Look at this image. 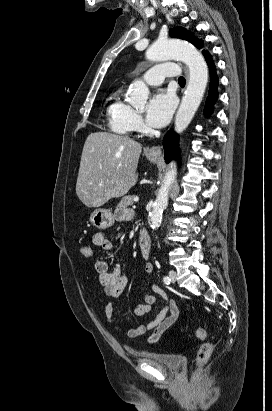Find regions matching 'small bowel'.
<instances>
[{
	"instance_id": "c3829d8e",
	"label": "small bowel",
	"mask_w": 272,
	"mask_h": 411,
	"mask_svg": "<svg viewBox=\"0 0 272 411\" xmlns=\"http://www.w3.org/2000/svg\"><path fill=\"white\" fill-rule=\"evenodd\" d=\"M132 216L133 212L126 210L120 212L117 217L121 220H128L131 219ZM93 242L104 251H112L114 249L113 242L109 240L104 233H96L93 237ZM94 267L98 275V281L104 287L105 296L108 298L120 296L128 284V277L122 272L121 263H117L113 269H110L106 260L97 259ZM153 269L154 266L151 262L145 263L144 270L147 274H151ZM151 290L153 294L146 292L142 294L143 302L135 307V315L141 317L150 313L158 298H161L165 305L157 313L155 318L146 324H139L133 328H125L114 321V308L112 303H107L104 309L106 320L111 327L129 339H135L148 331H152L146 340L149 345H153L162 334L176 322L179 316L178 307L172 297L156 284L151 285Z\"/></svg>"
}]
</instances>
